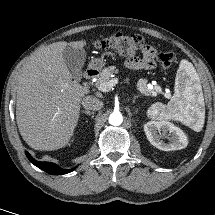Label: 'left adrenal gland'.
<instances>
[{
  "mask_svg": "<svg viewBox=\"0 0 215 215\" xmlns=\"http://www.w3.org/2000/svg\"><path fill=\"white\" fill-rule=\"evenodd\" d=\"M140 96H135L134 99L132 100L133 103H135L136 99H138Z\"/></svg>",
  "mask_w": 215,
  "mask_h": 215,
  "instance_id": "obj_1",
  "label": "left adrenal gland"
}]
</instances>
